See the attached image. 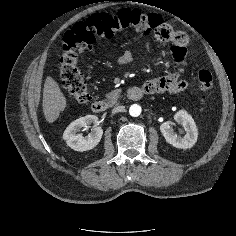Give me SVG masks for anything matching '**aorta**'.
Here are the masks:
<instances>
[{
  "mask_svg": "<svg viewBox=\"0 0 236 236\" xmlns=\"http://www.w3.org/2000/svg\"><path fill=\"white\" fill-rule=\"evenodd\" d=\"M141 106L138 105V104H133L130 106L129 108V114L132 116V117H138L140 114H141Z\"/></svg>",
  "mask_w": 236,
  "mask_h": 236,
  "instance_id": "1",
  "label": "aorta"
}]
</instances>
